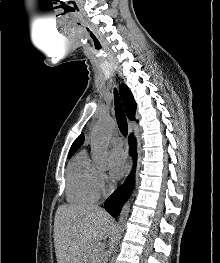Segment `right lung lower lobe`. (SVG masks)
Segmentation results:
<instances>
[{"label":"right lung lower lobe","instance_id":"98d812e1","mask_svg":"<svg viewBox=\"0 0 220 263\" xmlns=\"http://www.w3.org/2000/svg\"><path fill=\"white\" fill-rule=\"evenodd\" d=\"M130 154L133 156L136 162V140L133 135L129 137ZM135 169L127 178L123 186H120L106 201L105 209L113 216L117 217L120 214L123 204L131 194L134 185Z\"/></svg>","mask_w":220,"mask_h":263}]
</instances>
